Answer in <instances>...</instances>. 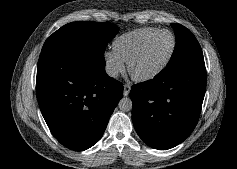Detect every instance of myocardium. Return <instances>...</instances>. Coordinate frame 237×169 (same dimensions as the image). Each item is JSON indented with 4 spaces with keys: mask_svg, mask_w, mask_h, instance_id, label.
Returning a JSON list of instances; mask_svg holds the SVG:
<instances>
[{
    "mask_svg": "<svg viewBox=\"0 0 237 169\" xmlns=\"http://www.w3.org/2000/svg\"><path fill=\"white\" fill-rule=\"evenodd\" d=\"M163 33H168L171 36L172 39V47L171 50L168 54V56L166 57V59L154 70L149 71L145 74H136L133 70V65L134 63L142 56V54L144 53V51L146 50V48L151 44V42L160 34ZM176 49V39L175 36L172 32H170L169 30H159L157 31L155 34H153L150 38H148L140 47L139 49L133 54V56L130 58V60L128 61V71L130 73V75L132 76V78L136 81L139 82H144V81H148L154 77H156L158 74H160L165 67L168 65V63L170 62V60L172 59L174 52Z\"/></svg>",
    "mask_w": 237,
    "mask_h": 169,
    "instance_id": "obj_1",
    "label": "myocardium"
}]
</instances>
